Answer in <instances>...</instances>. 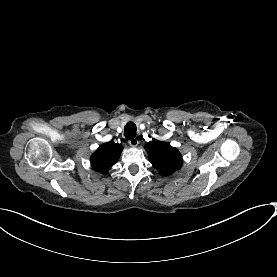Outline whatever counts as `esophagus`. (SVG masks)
Instances as JSON below:
<instances>
[{"mask_svg": "<svg viewBox=\"0 0 277 277\" xmlns=\"http://www.w3.org/2000/svg\"><path fill=\"white\" fill-rule=\"evenodd\" d=\"M128 143L130 146L136 147L139 144V141L137 138H133V139L129 140Z\"/></svg>", "mask_w": 277, "mask_h": 277, "instance_id": "esophagus-1", "label": "esophagus"}]
</instances>
